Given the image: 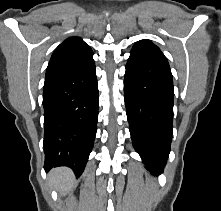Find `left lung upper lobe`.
Instances as JSON below:
<instances>
[{
  "label": "left lung upper lobe",
  "mask_w": 221,
  "mask_h": 211,
  "mask_svg": "<svg viewBox=\"0 0 221 211\" xmlns=\"http://www.w3.org/2000/svg\"><path fill=\"white\" fill-rule=\"evenodd\" d=\"M131 52H141L148 55L156 56L167 61L160 49L150 40H140L135 43Z\"/></svg>",
  "instance_id": "1"
}]
</instances>
